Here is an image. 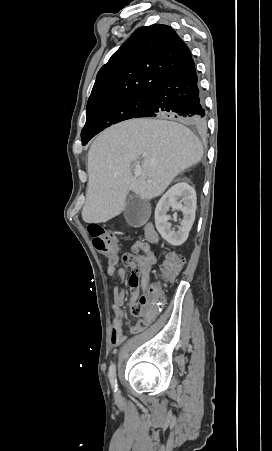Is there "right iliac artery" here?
Segmentation results:
<instances>
[{
    "label": "right iliac artery",
    "mask_w": 272,
    "mask_h": 451,
    "mask_svg": "<svg viewBox=\"0 0 272 451\" xmlns=\"http://www.w3.org/2000/svg\"><path fill=\"white\" fill-rule=\"evenodd\" d=\"M109 379L111 382V385L114 389V391L116 392L118 390V385H117V379H116V367L115 364H112L109 368Z\"/></svg>",
    "instance_id": "obj_1"
}]
</instances>
